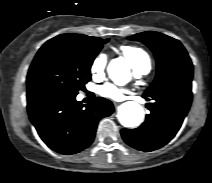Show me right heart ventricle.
I'll return each instance as SVG.
<instances>
[{"label":"right heart ventricle","instance_id":"right-heart-ventricle-1","mask_svg":"<svg viewBox=\"0 0 212 183\" xmlns=\"http://www.w3.org/2000/svg\"><path fill=\"white\" fill-rule=\"evenodd\" d=\"M120 50L131 63L134 70L145 68L150 70L151 59L144 49L136 46L123 45L120 47Z\"/></svg>","mask_w":212,"mask_h":183}]
</instances>
